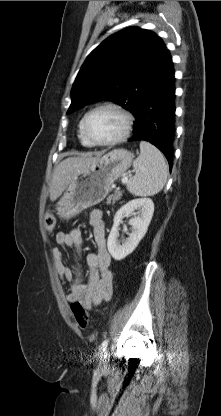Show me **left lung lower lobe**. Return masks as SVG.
<instances>
[{"label":"left lung lower lobe","mask_w":221,"mask_h":416,"mask_svg":"<svg viewBox=\"0 0 221 416\" xmlns=\"http://www.w3.org/2000/svg\"><path fill=\"white\" fill-rule=\"evenodd\" d=\"M172 59L165 50L156 78L139 101L128 141L145 140L163 152L172 169L175 132V87Z\"/></svg>","instance_id":"0a47b994"}]
</instances>
